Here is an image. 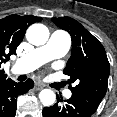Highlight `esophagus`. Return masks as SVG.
Instances as JSON below:
<instances>
[{
	"instance_id": "1",
	"label": "esophagus",
	"mask_w": 117,
	"mask_h": 117,
	"mask_svg": "<svg viewBox=\"0 0 117 117\" xmlns=\"http://www.w3.org/2000/svg\"><path fill=\"white\" fill-rule=\"evenodd\" d=\"M34 88H35V90H41V89L44 88V86L42 84H40V83H37V84H35Z\"/></svg>"
}]
</instances>
